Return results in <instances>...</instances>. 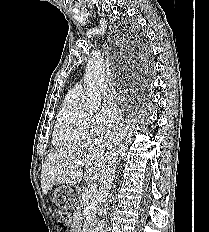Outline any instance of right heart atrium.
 Returning a JSON list of instances; mask_svg holds the SVG:
<instances>
[{"label":"right heart atrium","instance_id":"obj_1","mask_svg":"<svg viewBox=\"0 0 209 232\" xmlns=\"http://www.w3.org/2000/svg\"><path fill=\"white\" fill-rule=\"evenodd\" d=\"M119 111L113 105H103L92 117L97 130L103 131L119 120Z\"/></svg>","mask_w":209,"mask_h":232}]
</instances>
